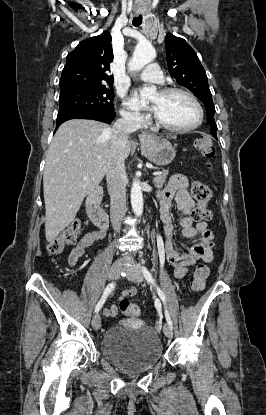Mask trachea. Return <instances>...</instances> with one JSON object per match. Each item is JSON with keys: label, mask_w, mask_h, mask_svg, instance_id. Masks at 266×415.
<instances>
[{"label": "trachea", "mask_w": 266, "mask_h": 415, "mask_svg": "<svg viewBox=\"0 0 266 415\" xmlns=\"http://www.w3.org/2000/svg\"><path fill=\"white\" fill-rule=\"evenodd\" d=\"M142 23V16L135 17L132 21L133 26L139 27Z\"/></svg>", "instance_id": "1"}]
</instances>
